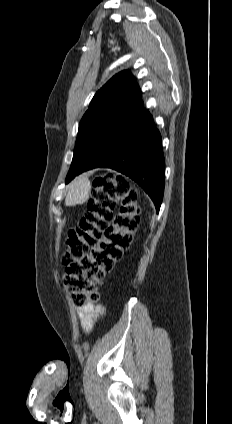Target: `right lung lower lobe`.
I'll use <instances>...</instances> for the list:
<instances>
[{
	"instance_id": "obj_1",
	"label": "right lung lower lobe",
	"mask_w": 232,
	"mask_h": 424,
	"mask_svg": "<svg viewBox=\"0 0 232 424\" xmlns=\"http://www.w3.org/2000/svg\"><path fill=\"white\" fill-rule=\"evenodd\" d=\"M164 164L161 135L151 114L141 104L133 109L130 122L102 141L78 174L97 167L117 170L145 190L158 213L164 192ZM73 178H67L66 183Z\"/></svg>"
}]
</instances>
